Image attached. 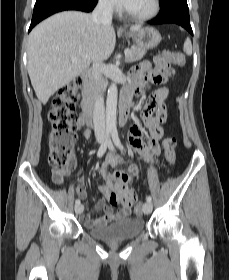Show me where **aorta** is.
Returning a JSON list of instances; mask_svg holds the SVG:
<instances>
[{"label":"aorta","mask_w":229,"mask_h":280,"mask_svg":"<svg viewBox=\"0 0 229 280\" xmlns=\"http://www.w3.org/2000/svg\"><path fill=\"white\" fill-rule=\"evenodd\" d=\"M118 90L116 83H112L108 89L106 101V127L109 131H116Z\"/></svg>","instance_id":"1"}]
</instances>
